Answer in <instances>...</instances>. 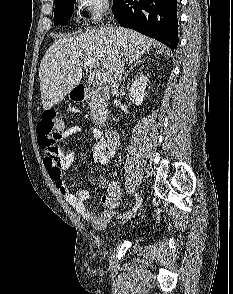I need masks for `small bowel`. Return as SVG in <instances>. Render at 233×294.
<instances>
[{"label": "small bowel", "mask_w": 233, "mask_h": 294, "mask_svg": "<svg viewBox=\"0 0 233 294\" xmlns=\"http://www.w3.org/2000/svg\"><path fill=\"white\" fill-rule=\"evenodd\" d=\"M84 130L82 123L75 124L67 128L64 133V138L77 135ZM94 135L97 139V144L92 148L90 157L93 162L106 165L110 159L115 155L116 146L107 144L101 135V132L94 129ZM76 158L74 149H61L59 156H46L44 158V166L54 181L56 188L63 195L67 203L74 208V210L86 219L96 229H103L113 217V210L120 199L121 187L118 182H108L105 177L99 176L97 184L100 188H106V194L101 198V202L106 209L99 215H95L86 207V202L90 198V194L86 189H77L71 191L65 185L62 179L63 171L69 169Z\"/></svg>", "instance_id": "obj_1"}]
</instances>
